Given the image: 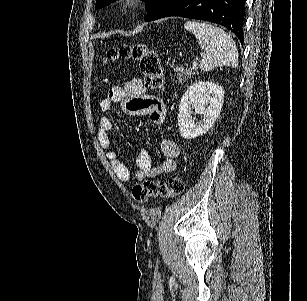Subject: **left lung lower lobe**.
<instances>
[{
    "instance_id": "1",
    "label": "left lung lower lobe",
    "mask_w": 307,
    "mask_h": 301,
    "mask_svg": "<svg viewBox=\"0 0 307 301\" xmlns=\"http://www.w3.org/2000/svg\"><path fill=\"white\" fill-rule=\"evenodd\" d=\"M180 16L225 26L244 42L245 0H176L157 18Z\"/></svg>"
}]
</instances>
